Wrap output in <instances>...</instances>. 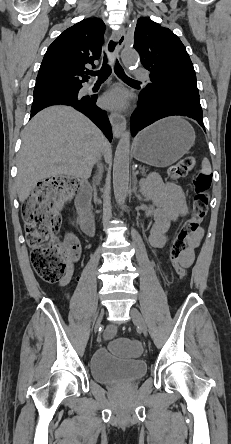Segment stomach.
Masks as SVG:
<instances>
[{
  "label": "stomach",
  "instance_id": "stomach-1",
  "mask_svg": "<svg viewBox=\"0 0 231 444\" xmlns=\"http://www.w3.org/2000/svg\"><path fill=\"white\" fill-rule=\"evenodd\" d=\"M195 142L192 126L183 118H164L144 129L133 142L134 157L154 167H167L184 156Z\"/></svg>",
  "mask_w": 231,
  "mask_h": 444
}]
</instances>
